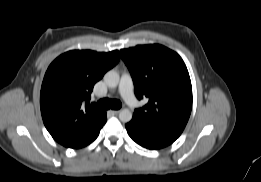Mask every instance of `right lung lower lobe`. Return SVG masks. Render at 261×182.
Wrapping results in <instances>:
<instances>
[{
    "label": "right lung lower lobe",
    "instance_id": "1",
    "mask_svg": "<svg viewBox=\"0 0 261 182\" xmlns=\"http://www.w3.org/2000/svg\"><path fill=\"white\" fill-rule=\"evenodd\" d=\"M106 117H105V120H104V122L101 124V126L99 127V128H97L95 131H94V133L90 136V138L87 140V142H86V144L84 145V146H86V145H88V144H90L92 141H94L96 138H97V136H98V134H99V132H100V129L102 128V126L106 123ZM83 146V147H84Z\"/></svg>",
    "mask_w": 261,
    "mask_h": 182
}]
</instances>
